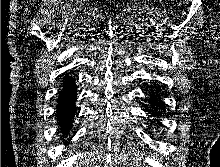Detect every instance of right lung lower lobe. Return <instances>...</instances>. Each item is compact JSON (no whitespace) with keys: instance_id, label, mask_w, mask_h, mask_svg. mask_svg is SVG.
I'll list each match as a JSON object with an SVG mask.
<instances>
[{"instance_id":"98d812e1","label":"right lung lower lobe","mask_w":220,"mask_h":167,"mask_svg":"<svg viewBox=\"0 0 220 167\" xmlns=\"http://www.w3.org/2000/svg\"><path fill=\"white\" fill-rule=\"evenodd\" d=\"M76 85L72 77L67 76L63 81V88L59 92L56 117L63 132H68L75 115Z\"/></svg>"}]
</instances>
